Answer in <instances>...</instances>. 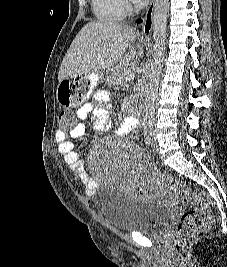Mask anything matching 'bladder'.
I'll list each match as a JSON object with an SVG mask.
<instances>
[{
	"instance_id": "31cf9c89",
	"label": "bladder",
	"mask_w": 227,
	"mask_h": 267,
	"mask_svg": "<svg viewBox=\"0 0 227 267\" xmlns=\"http://www.w3.org/2000/svg\"><path fill=\"white\" fill-rule=\"evenodd\" d=\"M102 191L100 210L106 223L114 229L160 235L174 217L173 209L155 200L131 198L113 187H104Z\"/></svg>"
}]
</instances>
